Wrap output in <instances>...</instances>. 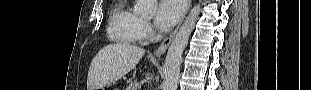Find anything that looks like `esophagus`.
<instances>
[{
	"mask_svg": "<svg viewBox=\"0 0 311 90\" xmlns=\"http://www.w3.org/2000/svg\"><path fill=\"white\" fill-rule=\"evenodd\" d=\"M190 6H191V0H187L184 13H183V15H182V17H181V20H180V22H179L177 28H176L167 38H165L164 41L160 44V46H159V47L157 48V50L154 52V55H155V56L159 57V56L163 55V54L166 52L168 46L170 45V43H171L173 37H174L175 34H176V32H177L179 26L181 25V23L183 22V20H184L186 14H187V12L189 11Z\"/></svg>",
	"mask_w": 311,
	"mask_h": 90,
	"instance_id": "esophagus-1",
	"label": "esophagus"
}]
</instances>
